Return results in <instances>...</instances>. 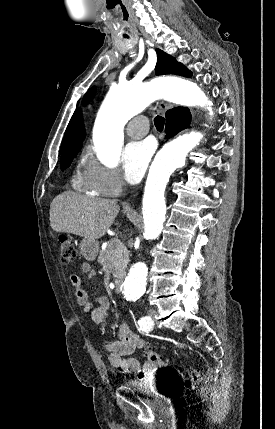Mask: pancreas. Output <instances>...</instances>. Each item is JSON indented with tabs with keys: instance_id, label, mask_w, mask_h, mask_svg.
<instances>
[{
	"instance_id": "pancreas-1",
	"label": "pancreas",
	"mask_w": 275,
	"mask_h": 429,
	"mask_svg": "<svg viewBox=\"0 0 275 429\" xmlns=\"http://www.w3.org/2000/svg\"><path fill=\"white\" fill-rule=\"evenodd\" d=\"M126 260L125 249L117 240L109 241L106 248L100 251L98 257V263L112 272L113 276H116L117 272L125 267Z\"/></svg>"
}]
</instances>
